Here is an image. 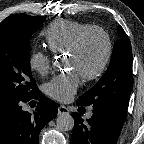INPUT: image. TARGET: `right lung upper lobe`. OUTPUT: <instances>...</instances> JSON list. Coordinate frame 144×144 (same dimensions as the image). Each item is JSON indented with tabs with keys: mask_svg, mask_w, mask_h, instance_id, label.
<instances>
[{
	"mask_svg": "<svg viewBox=\"0 0 144 144\" xmlns=\"http://www.w3.org/2000/svg\"><path fill=\"white\" fill-rule=\"evenodd\" d=\"M3 108H5V106L0 104V110L3 109Z\"/></svg>",
	"mask_w": 144,
	"mask_h": 144,
	"instance_id": "obj_1",
	"label": "right lung upper lobe"
}]
</instances>
